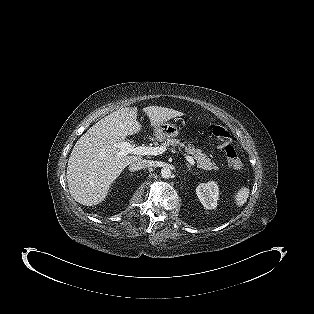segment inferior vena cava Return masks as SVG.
I'll return each instance as SVG.
<instances>
[{"mask_svg": "<svg viewBox=\"0 0 314 314\" xmlns=\"http://www.w3.org/2000/svg\"><path fill=\"white\" fill-rule=\"evenodd\" d=\"M149 167H151V162L149 160L140 159L129 164V171L135 172Z\"/></svg>", "mask_w": 314, "mask_h": 314, "instance_id": "602c4592", "label": "inferior vena cava"}]
</instances>
